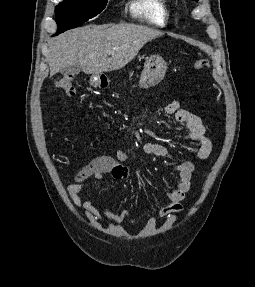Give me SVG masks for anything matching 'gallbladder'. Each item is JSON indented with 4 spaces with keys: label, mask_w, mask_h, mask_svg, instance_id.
Listing matches in <instances>:
<instances>
[{
    "label": "gallbladder",
    "mask_w": 255,
    "mask_h": 287,
    "mask_svg": "<svg viewBox=\"0 0 255 287\" xmlns=\"http://www.w3.org/2000/svg\"><path fill=\"white\" fill-rule=\"evenodd\" d=\"M61 74H80L81 68L80 66H68V68H63L60 70Z\"/></svg>",
    "instance_id": "1"
}]
</instances>
